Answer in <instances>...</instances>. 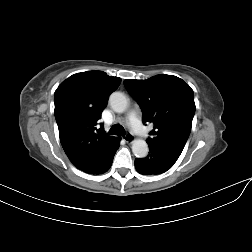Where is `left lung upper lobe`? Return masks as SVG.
Returning a JSON list of instances; mask_svg holds the SVG:
<instances>
[{"mask_svg": "<svg viewBox=\"0 0 252 252\" xmlns=\"http://www.w3.org/2000/svg\"><path fill=\"white\" fill-rule=\"evenodd\" d=\"M124 84L141 107L143 122L154 124L147 143L181 154L196 109L191 87L173 75H157L147 80L126 79Z\"/></svg>", "mask_w": 252, "mask_h": 252, "instance_id": "left-lung-upper-lobe-1", "label": "left lung upper lobe"}]
</instances>
